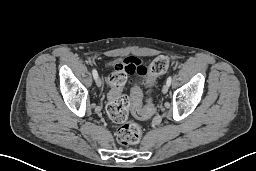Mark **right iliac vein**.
Listing matches in <instances>:
<instances>
[{"instance_id": "1", "label": "right iliac vein", "mask_w": 256, "mask_h": 171, "mask_svg": "<svg viewBox=\"0 0 256 171\" xmlns=\"http://www.w3.org/2000/svg\"><path fill=\"white\" fill-rule=\"evenodd\" d=\"M96 84L98 87H100L102 85V81H101V78L99 76H97L96 78Z\"/></svg>"}]
</instances>
